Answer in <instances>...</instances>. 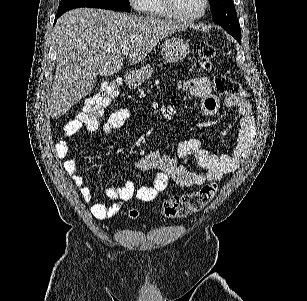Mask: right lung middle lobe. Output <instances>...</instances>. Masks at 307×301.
I'll use <instances>...</instances> for the list:
<instances>
[{
  "label": "right lung middle lobe",
  "mask_w": 307,
  "mask_h": 301,
  "mask_svg": "<svg viewBox=\"0 0 307 301\" xmlns=\"http://www.w3.org/2000/svg\"><path fill=\"white\" fill-rule=\"evenodd\" d=\"M79 7L103 8L126 12L131 11L129 0H61L57 16Z\"/></svg>",
  "instance_id": "dd1d6c3e"
}]
</instances>
